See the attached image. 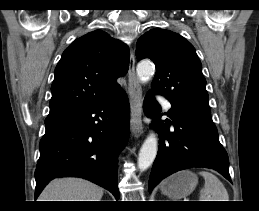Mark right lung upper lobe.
<instances>
[{"instance_id":"obj_1","label":"right lung upper lobe","mask_w":259,"mask_h":211,"mask_svg":"<svg viewBox=\"0 0 259 211\" xmlns=\"http://www.w3.org/2000/svg\"><path fill=\"white\" fill-rule=\"evenodd\" d=\"M128 66L127 46L106 32L96 30L76 39L56 66L49 115L115 97L123 91L116 80Z\"/></svg>"}]
</instances>
